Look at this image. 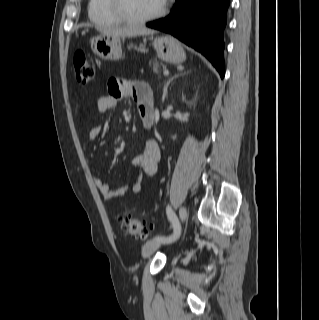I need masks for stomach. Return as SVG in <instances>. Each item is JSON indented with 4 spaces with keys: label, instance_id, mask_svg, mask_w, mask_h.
<instances>
[{
    "label": "stomach",
    "instance_id": "0dacf381",
    "mask_svg": "<svg viewBox=\"0 0 319 320\" xmlns=\"http://www.w3.org/2000/svg\"><path fill=\"white\" fill-rule=\"evenodd\" d=\"M152 45L159 59L172 64L182 63L186 56L177 39L171 36H160L152 39ZM91 49L104 60L116 61L122 57L120 37L101 34L91 40Z\"/></svg>",
    "mask_w": 319,
    "mask_h": 320
}]
</instances>
